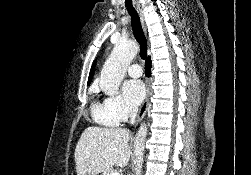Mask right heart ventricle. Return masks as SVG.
I'll return each instance as SVG.
<instances>
[{
  "label": "right heart ventricle",
  "instance_id": "obj_1",
  "mask_svg": "<svg viewBox=\"0 0 251 175\" xmlns=\"http://www.w3.org/2000/svg\"><path fill=\"white\" fill-rule=\"evenodd\" d=\"M91 111H92V115H93L94 119L98 123L105 125V126H108V127H116L117 126V124L115 122L111 121L108 118V116L105 114L102 105L97 104V103L93 104L91 107Z\"/></svg>",
  "mask_w": 251,
  "mask_h": 175
}]
</instances>
